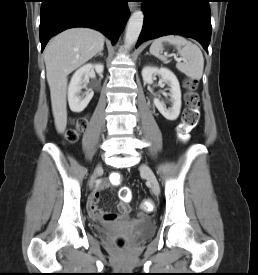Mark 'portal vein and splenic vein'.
<instances>
[{"label": "portal vein and splenic vein", "instance_id": "1", "mask_svg": "<svg viewBox=\"0 0 258 275\" xmlns=\"http://www.w3.org/2000/svg\"><path fill=\"white\" fill-rule=\"evenodd\" d=\"M174 59H175L176 61H178V62L184 60V58H178V57H176V56H174Z\"/></svg>", "mask_w": 258, "mask_h": 275}]
</instances>
